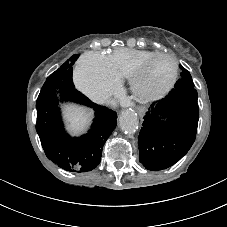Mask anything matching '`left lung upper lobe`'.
<instances>
[{
  "label": "left lung upper lobe",
  "instance_id": "obj_1",
  "mask_svg": "<svg viewBox=\"0 0 227 227\" xmlns=\"http://www.w3.org/2000/svg\"><path fill=\"white\" fill-rule=\"evenodd\" d=\"M181 69L180 79L176 82L175 87H194L192 77L182 65L179 66Z\"/></svg>",
  "mask_w": 227,
  "mask_h": 227
}]
</instances>
